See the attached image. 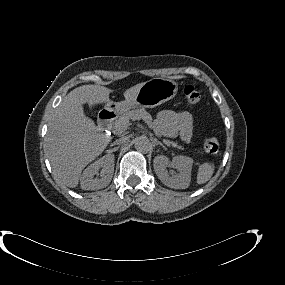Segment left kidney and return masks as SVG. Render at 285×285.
Returning <instances> with one entry per match:
<instances>
[{"mask_svg": "<svg viewBox=\"0 0 285 285\" xmlns=\"http://www.w3.org/2000/svg\"><path fill=\"white\" fill-rule=\"evenodd\" d=\"M169 164V159L166 156H156L154 159V170L158 178L167 187L174 189L188 188L191 181V170L193 159L186 156H175L172 160V166L179 171L178 176H171L166 167Z\"/></svg>", "mask_w": 285, "mask_h": 285, "instance_id": "left-kidney-1", "label": "left kidney"}]
</instances>
